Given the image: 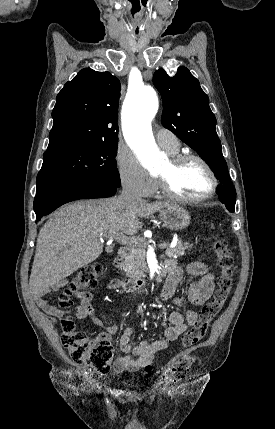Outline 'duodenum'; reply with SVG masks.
<instances>
[{"instance_id":"1","label":"duodenum","mask_w":275,"mask_h":429,"mask_svg":"<svg viewBox=\"0 0 275 429\" xmlns=\"http://www.w3.org/2000/svg\"><path fill=\"white\" fill-rule=\"evenodd\" d=\"M129 258V250L125 247L119 249L115 258V267L121 272L123 271ZM164 271L168 272V267L165 265ZM121 288L125 292H141L151 287L152 283L146 279L137 278H122L119 282Z\"/></svg>"}]
</instances>
